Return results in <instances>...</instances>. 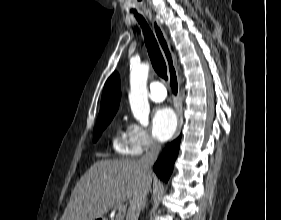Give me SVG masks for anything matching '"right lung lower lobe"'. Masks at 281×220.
I'll return each mask as SVG.
<instances>
[{
	"instance_id": "obj_1",
	"label": "right lung lower lobe",
	"mask_w": 281,
	"mask_h": 220,
	"mask_svg": "<svg viewBox=\"0 0 281 220\" xmlns=\"http://www.w3.org/2000/svg\"><path fill=\"white\" fill-rule=\"evenodd\" d=\"M180 139L181 135L174 140L171 144H169L162 152L160 158L154 165V171L157 174V176L167 182L169 179L172 170L174 162L177 158L179 146H180Z\"/></svg>"
}]
</instances>
